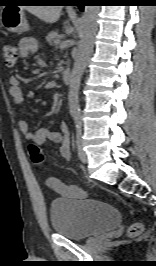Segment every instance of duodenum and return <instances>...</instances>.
Returning <instances> with one entry per match:
<instances>
[{"label":"duodenum","mask_w":156,"mask_h":266,"mask_svg":"<svg viewBox=\"0 0 156 266\" xmlns=\"http://www.w3.org/2000/svg\"><path fill=\"white\" fill-rule=\"evenodd\" d=\"M72 74L69 69H65L62 73V80L64 84L68 85L71 82Z\"/></svg>","instance_id":"duodenum-1"}]
</instances>
